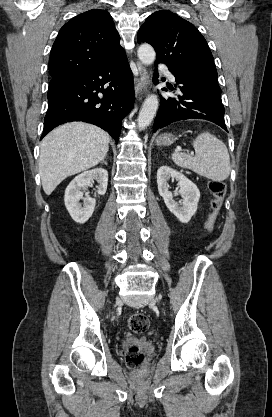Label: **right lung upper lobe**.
Listing matches in <instances>:
<instances>
[{
    "label": "right lung upper lobe",
    "instance_id": "1",
    "mask_svg": "<svg viewBox=\"0 0 272 417\" xmlns=\"http://www.w3.org/2000/svg\"><path fill=\"white\" fill-rule=\"evenodd\" d=\"M111 15L89 10L67 22L53 44L49 73L52 78L96 69L124 51Z\"/></svg>",
    "mask_w": 272,
    "mask_h": 417
}]
</instances>
